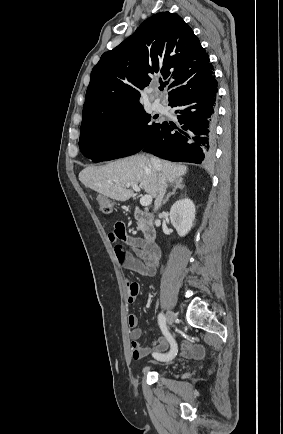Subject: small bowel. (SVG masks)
I'll return each instance as SVG.
<instances>
[{
    "label": "small bowel",
    "mask_w": 283,
    "mask_h": 434,
    "mask_svg": "<svg viewBox=\"0 0 283 434\" xmlns=\"http://www.w3.org/2000/svg\"><path fill=\"white\" fill-rule=\"evenodd\" d=\"M110 242H123L129 246L130 250H125L121 245L115 246V255L123 268L139 273L143 276H154L160 263V249L155 246L151 247L145 243L142 238L134 237L128 234L122 222L117 221L114 230L109 233ZM140 291V285L137 282H128L127 300L133 303ZM128 325L130 327L129 337L132 351V358L140 360L150 354H164L169 349V341L166 337H159L151 343V347H145L139 343L142 336V330L137 326L138 320L134 314L128 316ZM171 346V345H170ZM201 353L200 347L189 340H184L181 345L180 355L185 358H194Z\"/></svg>",
    "instance_id": "1"
}]
</instances>
